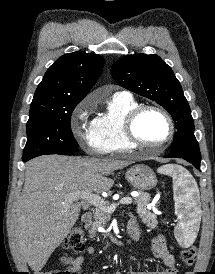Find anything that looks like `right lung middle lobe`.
I'll list each match as a JSON object with an SVG mask.
<instances>
[{
	"label": "right lung middle lobe",
	"instance_id": "dd1d6c3e",
	"mask_svg": "<svg viewBox=\"0 0 215 274\" xmlns=\"http://www.w3.org/2000/svg\"><path fill=\"white\" fill-rule=\"evenodd\" d=\"M78 103H31L22 159L76 149L78 143L71 131L70 118Z\"/></svg>",
	"mask_w": 215,
	"mask_h": 274
}]
</instances>
